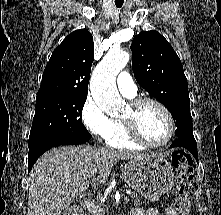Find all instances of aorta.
Listing matches in <instances>:
<instances>
[{
	"instance_id": "1",
	"label": "aorta",
	"mask_w": 221,
	"mask_h": 215,
	"mask_svg": "<svg viewBox=\"0 0 221 215\" xmlns=\"http://www.w3.org/2000/svg\"><path fill=\"white\" fill-rule=\"evenodd\" d=\"M129 53L110 50L96 66L90 82L91 95L100 109L108 115H117L124 102L116 87L117 74L127 65Z\"/></svg>"
}]
</instances>
